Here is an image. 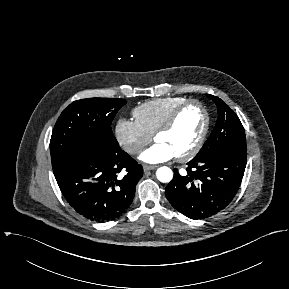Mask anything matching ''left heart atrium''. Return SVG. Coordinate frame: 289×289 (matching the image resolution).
Listing matches in <instances>:
<instances>
[{
	"instance_id": "1",
	"label": "left heart atrium",
	"mask_w": 289,
	"mask_h": 289,
	"mask_svg": "<svg viewBox=\"0 0 289 289\" xmlns=\"http://www.w3.org/2000/svg\"><path fill=\"white\" fill-rule=\"evenodd\" d=\"M175 157L173 151L163 143H156L146 149L141 155L140 159L143 162L150 164H157L171 160Z\"/></svg>"
}]
</instances>
